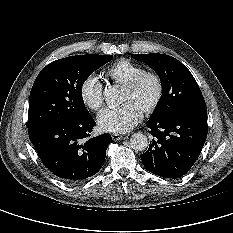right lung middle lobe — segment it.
Segmentation results:
<instances>
[{
    "label": "right lung middle lobe",
    "instance_id": "1",
    "mask_svg": "<svg viewBox=\"0 0 233 233\" xmlns=\"http://www.w3.org/2000/svg\"><path fill=\"white\" fill-rule=\"evenodd\" d=\"M112 55H76L48 64L30 92L28 132L44 126L73 123L90 115L82 98V85Z\"/></svg>",
    "mask_w": 233,
    "mask_h": 233
}]
</instances>
